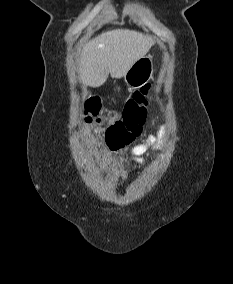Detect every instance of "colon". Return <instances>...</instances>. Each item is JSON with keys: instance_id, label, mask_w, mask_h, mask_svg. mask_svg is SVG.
<instances>
[{"instance_id": "5ec220e1", "label": "colon", "mask_w": 233, "mask_h": 284, "mask_svg": "<svg viewBox=\"0 0 233 284\" xmlns=\"http://www.w3.org/2000/svg\"><path fill=\"white\" fill-rule=\"evenodd\" d=\"M150 86L145 85L136 91L126 102L121 117L115 120L106 130L105 138L111 150H118L129 145L138 137L146 120V108ZM100 103L97 99H89L84 108L86 120L99 119Z\"/></svg>"}]
</instances>
